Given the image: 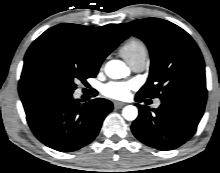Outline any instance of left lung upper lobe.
I'll use <instances>...</instances> for the list:
<instances>
[{"label": "left lung upper lobe", "mask_w": 220, "mask_h": 173, "mask_svg": "<svg viewBox=\"0 0 220 173\" xmlns=\"http://www.w3.org/2000/svg\"><path fill=\"white\" fill-rule=\"evenodd\" d=\"M120 26L143 40L151 55L149 78L137 95L206 103L203 57L186 31L158 18L135 20Z\"/></svg>", "instance_id": "left-lung-upper-lobe-1"}]
</instances>
